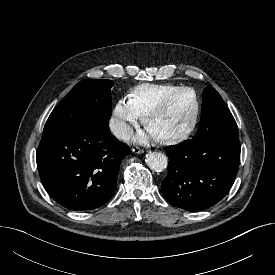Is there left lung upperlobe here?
<instances>
[{
	"instance_id": "5c2ea615",
	"label": "left lung upper lobe",
	"mask_w": 275,
	"mask_h": 275,
	"mask_svg": "<svg viewBox=\"0 0 275 275\" xmlns=\"http://www.w3.org/2000/svg\"><path fill=\"white\" fill-rule=\"evenodd\" d=\"M194 137L199 139L238 138L234 117L220 94L212 87L203 91L201 119Z\"/></svg>"
}]
</instances>
